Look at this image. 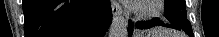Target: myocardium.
Returning a JSON list of instances; mask_svg holds the SVG:
<instances>
[{"instance_id":"f54148a6","label":"myocardium","mask_w":219,"mask_h":37,"mask_svg":"<svg viewBox=\"0 0 219 37\" xmlns=\"http://www.w3.org/2000/svg\"><path fill=\"white\" fill-rule=\"evenodd\" d=\"M161 0L138 1L130 7L134 17L140 21L154 19L161 11Z\"/></svg>"}]
</instances>
